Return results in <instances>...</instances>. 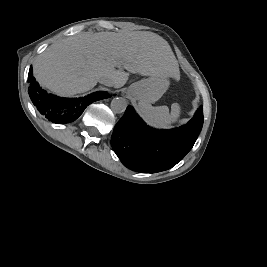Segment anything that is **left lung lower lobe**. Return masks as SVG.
I'll return each mask as SVG.
<instances>
[{"instance_id":"obj_1","label":"left lung lower lobe","mask_w":267,"mask_h":267,"mask_svg":"<svg viewBox=\"0 0 267 267\" xmlns=\"http://www.w3.org/2000/svg\"><path fill=\"white\" fill-rule=\"evenodd\" d=\"M203 125V108L185 126L155 130L127 107L117 122L111 145L121 162L131 170L154 173L176 165L193 147Z\"/></svg>"}]
</instances>
